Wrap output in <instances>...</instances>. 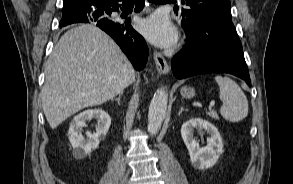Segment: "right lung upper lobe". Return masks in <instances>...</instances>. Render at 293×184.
<instances>
[{"label": "right lung upper lobe", "mask_w": 293, "mask_h": 184, "mask_svg": "<svg viewBox=\"0 0 293 184\" xmlns=\"http://www.w3.org/2000/svg\"><path fill=\"white\" fill-rule=\"evenodd\" d=\"M102 1L104 0H64L62 15L63 17L70 16L81 9L99 5Z\"/></svg>", "instance_id": "cb5924a9"}]
</instances>
